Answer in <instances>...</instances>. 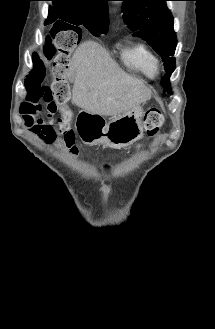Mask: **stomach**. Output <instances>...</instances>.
I'll return each instance as SVG.
<instances>
[{"instance_id": "1", "label": "stomach", "mask_w": 215, "mask_h": 329, "mask_svg": "<svg viewBox=\"0 0 215 329\" xmlns=\"http://www.w3.org/2000/svg\"><path fill=\"white\" fill-rule=\"evenodd\" d=\"M142 116L143 109L140 104L121 115L114 116L98 129V137L93 139V143L104 144L114 149L131 145L143 136Z\"/></svg>"}]
</instances>
